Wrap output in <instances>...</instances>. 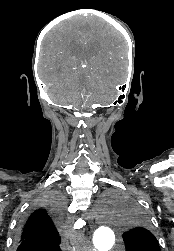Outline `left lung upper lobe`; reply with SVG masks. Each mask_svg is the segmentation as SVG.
<instances>
[{
	"label": "left lung upper lobe",
	"instance_id": "obj_1",
	"mask_svg": "<svg viewBox=\"0 0 174 251\" xmlns=\"http://www.w3.org/2000/svg\"><path fill=\"white\" fill-rule=\"evenodd\" d=\"M127 214L134 222V227L123 235L126 251H161L147 219L139 212L138 208L129 206Z\"/></svg>",
	"mask_w": 174,
	"mask_h": 251
}]
</instances>
